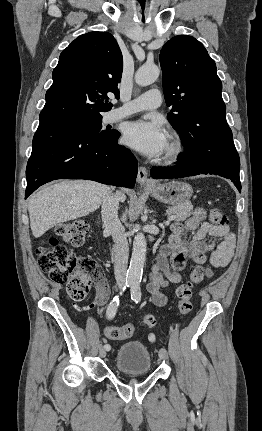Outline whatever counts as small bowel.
Returning <instances> with one entry per match:
<instances>
[{"mask_svg":"<svg viewBox=\"0 0 262 431\" xmlns=\"http://www.w3.org/2000/svg\"><path fill=\"white\" fill-rule=\"evenodd\" d=\"M205 213L198 209L193 215L182 222L171 224V233L168 241L158 252L156 262L152 266L148 291L152 302L159 307L165 306L167 297L163 293L169 284L182 281L181 270L190 258L196 264L204 263L208 258L213 267H225L233 258L235 236L227 225L213 226L208 221H203ZM186 231L193 232L189 241L183 240ZM209 237L221 238L219 247L209 240ZM212 271L206 269L207 276ZM96 294L92 300V306H100L109 298V286L105 278L101 277L96 282ZM150 341L155 340V335H149Z\"/></svg>","mask_w":262,"mask_h":431,"instance_id":"small-bowel-1","label":"small bowel"}]
</instances>
